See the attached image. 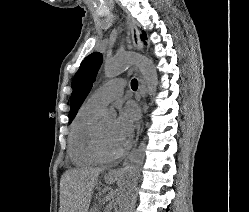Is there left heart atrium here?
<instances>
[{"label": "left heart atrium", "instance_id": "obj_1", "mask_svg": "<svg viewBox=\"0 0 249 212\" xmlns=\"http://www.w3.org/2000/svg\"><path fill=\"white\" fill-rule=\"evenodd\" d=\"M137 111L133 105H127L120 111L114 122L111 141L118 152L128 148L133 133Z\"/></svg>", "mask_w": 249, "mask_h": 212}]
</instances>
